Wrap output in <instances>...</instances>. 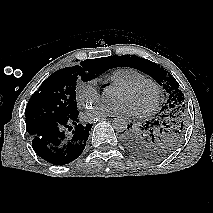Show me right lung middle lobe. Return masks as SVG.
<instances>
[{
  "instance_id": "dd1d6c3e",
  "label": "right lung middle lobe",
  "mask_w": 213,
  "mask_h": 213,
  "mask_svg": "<svg viewBox=\"0 0 213 213\" xmlns=\"http://www.w3.org/2000/svg\"><path fill=\"white\" fill-rule=\"evenodd\" d=\"M108 69L111 67L105 58L89 59L50 75L27 104L25 122L28 133L31 135L44 124L77 114V81H90Z\"/></svg>"
}]
</instances>
